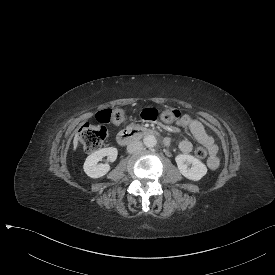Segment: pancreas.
Returning a JSON list of instances; mask_svg holds the SVG:
<instances>
[{
	"mask_svg": "<svg viewBox=\"0 0 275 275\" xmlns=\"http://www.w3.org/2000/svg\"><path fill=\"white\" fill-rule=\"evenodd\" d=\"M136 127H139V125L130 124V125L128 126V128H136Z\"/></svg>",
	"mask_w": 275,
	"mask_h": 275,
	"instance_id": "obj_1",
	"label": "pancreas"
}]
</instances>
